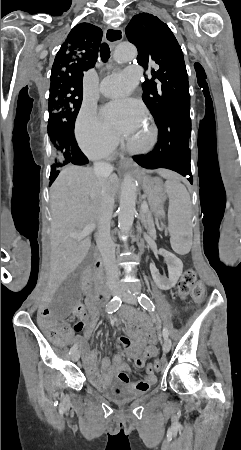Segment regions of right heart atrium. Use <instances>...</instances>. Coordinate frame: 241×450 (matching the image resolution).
Masks as SVG:
<instances>
[{
    "label": "right heart atrium",
    "mask_w": 241,
    "mask_h": 450,
    "mask_svg": "<svg viewBox=\"0 0 241 450\" xmlns=\"http://www.w3.org/2000/svg\"><path fill=\"white\" fill-rule=\"evenodd\" d=\"M75 135L82 153L91 159H108L113 156L116 145L111 131L97 118L89 105L80 108L75 121ZM111 149V150H110Z\"/></svg>",
    "instance_id": "obj_1"
}]
</instances>
